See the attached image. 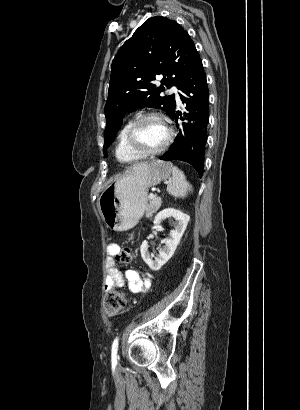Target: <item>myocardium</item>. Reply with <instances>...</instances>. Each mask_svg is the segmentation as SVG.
Segmentation results:
<instances>
[{
	"label": "myocardium",
	"instance_id": "myocardium-1",
	"mask_svg": "<svg viewBox=\"0 0 300 410\" xmlns=\"http://www.w3.org/2000/svg\"><path fill=\"white\" fill-rule=\"evenodd\" d=\"M148 119H157L159 120L164 127L166 128L167 131V137L165 142L157 149L154 150H144L141 148V146L139 145L137 139H136V131L138 129V127L140 126L141 123H143L144 121L148 120ZM173 139V130L170 127V125L168 124L166 118L157 112H147L144 114L139 115L137 118H135L131 124L129 125L127 132H126V143L128 145V147L137 155L141 156V157H149V156H155L158 154H161L162 152H164L168 146L170 145L171 141Z\"/></svg>",
	"mask_w": 300,
	"mask_h": 410
}]
</instances>
